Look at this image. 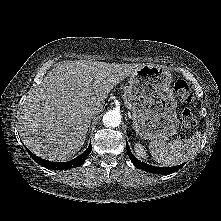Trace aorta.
<instances>
[{"label": "aorta", "instance_id": "obj_1", "mask_svg": "<svg viewBox=\"0 0 221 221\" xmlns=\"http://www.w3.org/2000/svg\"><path fill=\"white\" fill-rule=\"evenodd\" d=\"M102 122L106 127L115 128L120 125L121 115L118 111L110 110L104 114Z\"/></svg>", "mask_w": 221, "mask_h": 221}]
</instances>
